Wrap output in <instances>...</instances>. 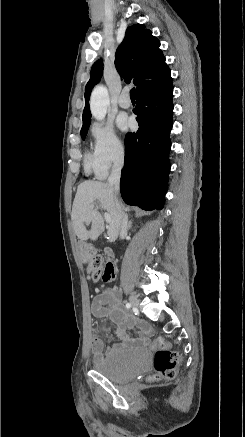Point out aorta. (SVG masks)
<instances>
[{
    "label": "aorta",
    "mask_w": 245,
    "mask_h": 437,
    "mask_svg": "<svg viewBox=\"0 0 245 437\" xmlns=\"http://www.w3.org/2000/svg\"><path fill=\"white\" fill-rule=\"evenodd\" d=\"M109 105V95L106 87L98 85L94 88L90 98V109L97 120L104 119Z\"/></svg>",
    "instance_id": "obj_1"
}]
</instances>
